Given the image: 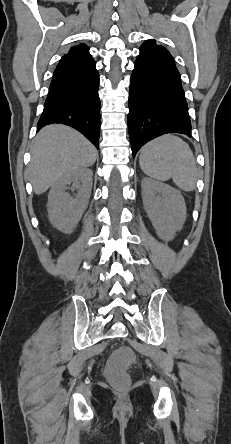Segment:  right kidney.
<instances>
[{"label": "right kidney", "mask_w": 231, "mask_h": 444, "mask_svg": "<svg viewBox=\"0 0 231 444\" xmlns=\"http://www.w3.org/2000/svg\"><path fill=\"white\" fill-rule=\"evenodd\" d=\"M92 176L90 169L82 168L63 175L52 185L48 195V215L51 223L61 232H73L81 219L89 203ZM71 183L77 189L74 198L66 192Z\"/></svg>", "instance_id": "obj_1"}]
</instances>
